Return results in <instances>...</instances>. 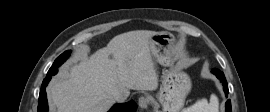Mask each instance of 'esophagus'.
Returning a JSON list of instances; mask_svg holds the SVG:
<instances>
[{
  "label": "esophagus",
  "mask_w": 270,
  "mask_h": 112,
  "mask_svg": "<svg viewBox=\"0 0 270 112\" xmlns=\"http://www.w3.org/2000/svg\"><path fill=\"white\" fill-rule=\"evenodd\" d=\"M151 98L149 96H141L138 99V104L141 109H147L150 104Z\"/></svg>",
  "instance_id": "1"
}]
</instances>
